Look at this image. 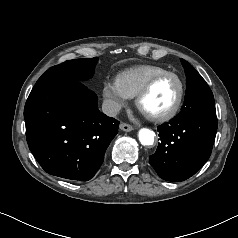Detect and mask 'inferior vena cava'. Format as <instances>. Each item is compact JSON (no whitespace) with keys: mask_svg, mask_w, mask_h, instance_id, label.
Here are the masks:
<instances>
[{"mask_svg":"<svg viewBox=\"0 0 238 238\" xmlns=\"http://www.w3.org/2000/svg\"><path fill=\"white\" fill-rule=\"evenodd\" d=\"M121 109V106L113 100L106 99L102 104V111L110 117H115Z\"/></svg>","mask_w":238,"mask_h":238,"instance_id":"1","label":"inferior vena cava"}]
</instances>
